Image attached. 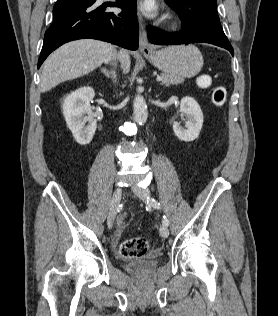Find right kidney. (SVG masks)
Listing matches in <instances>:
<instances>
[{
    "mask_svg": "<svg viewBox=\"0 0 278 316\" xmlns=\"http://www.w3.org/2000/svg\"><path fill=\"white\" fill-rule=\"evenodd\" d=\"M94 96L93 88L82 87L69 94L63 102L62 109L67 126L80 145L89 144L96 131L97 122L90 106Z\"/></svg>",
    "mask_w": 278,
    "mask_h": 316,
    "instance_id": "ca27d5eb",
    "label": "right kidney"
}]
</instances>
